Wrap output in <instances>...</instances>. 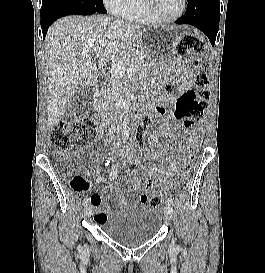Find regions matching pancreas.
<instances>
[{
  "instance_id": "pancreas-1",
  "label": "pancreas",
  "mask_w": 265,
  "mask_h": 273,
  "mask_svg": "<svg viewBox=\"0 0 265 273\" xmlns=\"http://www.w3.org/2000/svg\"><path fill=\"white\" fill-rule=\"evenodd\" d=\"M146 55L142 51H133L125 53L118 62H122L124 67H131L134 73L141 71L146 65ZM122 90V80L119 76L113 74L110 78L109 84L101 89L100 98L95 105L97 110L109 111L113 108L114 101L118 98Z\"/></svg>"
}]
</instances>
